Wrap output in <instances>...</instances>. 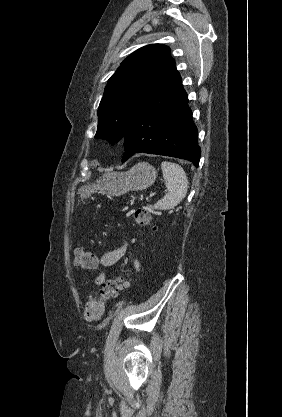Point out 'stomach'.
Segmentation results:
<instances>
[{
	"instance_id": "0dacf381",
	"label": "stomach",
	"mask_w": 282,
	"mask_h": 417,
	"mask_svg": "<svg viewBox=\"0 0 282 417\" xmlns=\"http://www.w3.org/2000/svg\"><path fill=\"white\" fill-rule=\"evenodd\" d=\"M157 178V170L149 162H137L130 170L126 172H117L110 170L104 172L96 182L84 184L78 188L80 198H88L92 192L99 190L101 194H110V196H120L129 190H143L148 188Z\"/></svg>"
}]
</instances>
